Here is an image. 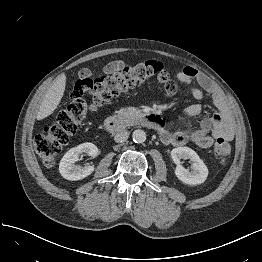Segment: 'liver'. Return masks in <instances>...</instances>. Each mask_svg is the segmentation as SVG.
<instances>
[{
	"label": "liver",
	"instance_id": "liver-1",
	"mask_svg": "<svg viewBox=\"0 0 262 262\" xmlns=\"http://www.w3.org/2000/svg\"><path fill=\"white\" fill-rule=\"evenodd\" d=\"M66 76L60 74L55 80L53 85L47 91L37 113V120H42L51 115L58 107L65 91Z\"/></svg>",
	"mask_w": 262,
	"mask_h": 262
}]
</instances>
